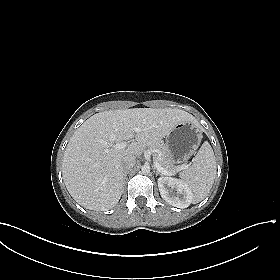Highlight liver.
I'll list each match as a JSON object with an SVG mask.
<instances>
[{
    "mask_svg": "<svg viewBox=\"0 0 280 280\" xmlns=\"http://www.w3.org/2000/svg\"><path fill=\"white\" fill-rule=\"evenodd\" d=\"M194 117L176 108H133L94 114L73 134L65 149L62 175L73 199L86 209H112L122 195L125 156H140L172 129ZM141 128L135 134L134 128ZM135 138L123 149L117 143Z\"/></svg>",
    "mask_w": 280,
    "mask_h": 280,
    "instance_id": "6515ba94",
    "label": "liver"
}]
</instances>
